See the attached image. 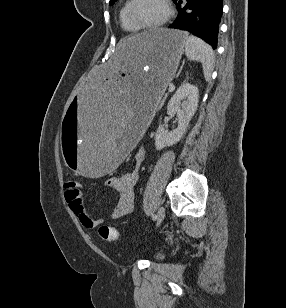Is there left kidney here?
Wrapping results in <instances>:
<instances>
[{
    "label": "left kidney",
    "mask_w": 286,
    "mask_h": 308,
    "mask_svg": "<svg viewBox=\"0 0 286 308\" xmlns=\"http://www.w3.org/2000/svg\"><path fill=\"white\" fill-rule=\"evenodd\" d=\"M198 100L199 91L197 87L189 83H184L179 87L167 105V111L176 114L178 127L168 131L163 125H159L155 135L156 150L172 146L180 141L197 110Z\"/></svg>",
    "instance_id": "5707ae66"
}]
</instances>
